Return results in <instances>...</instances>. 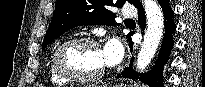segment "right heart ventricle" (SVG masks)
Wrapping results in <instances>:
<instances>
[{
    "mask_svg": "<svg viewBox=\"0 0 205 87\" xmlns=\"http://www.w3.org/2000/svg\"><path fill=\"white\" fill-rule=\"evenodd\" d=\"M49 75H50V80L53 84L55 85H65L67 84V81L61 78L56 74L54 71L53 65H52V58L50 59L49 62Z\"/></svg>",
    "mask_w": 205,
    "mask_h": 87,
    "instance_id": "e07e8e85",
    "label": "right heart ventricle"
}]
</instances>
